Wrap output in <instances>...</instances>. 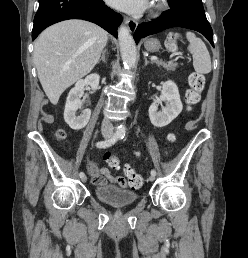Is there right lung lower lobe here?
<instances>
[{
	"label": "right lung lower lobe",
	"mask_w": 248,
	"mask_h": 258,
	"mask_svg": "<svg viewBox=\"0 0 248 258\" xmlns=\"http://www.w3.org/2000/svg\"><path fill=\"white\" fill-rule=\"evenodd\" d=\"M67 19H83L96 23L117 37V27L122 16L107 7L102 0H39L32 39L46 27Z\"/></svg>",
	"instance_id": "right-lung-lower-lobe-1"
}]
</instances>
